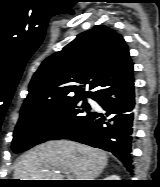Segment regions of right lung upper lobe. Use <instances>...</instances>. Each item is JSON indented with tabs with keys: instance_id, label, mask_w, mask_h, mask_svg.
I'll return each mask as SVG.
<instances>
[{
	"instance_id": "cb5924a9",
	"label": "right lung upper lobe",
	"mask_w": 160,
	"mask_h": 187,
	"mask_svg": "<svg viewBox=\"0 0 160 187\" xmlns=\"http://www.w3.org/2000/svg\"><path fill=\"white\" fill-rule=\"evenodd\" d=\"M130 64L123 37L107 26H96L42 62L30 82L21 113L75 98H93ZM85 87L94 91H85Z\"/></svg>"
}]
</instances>
